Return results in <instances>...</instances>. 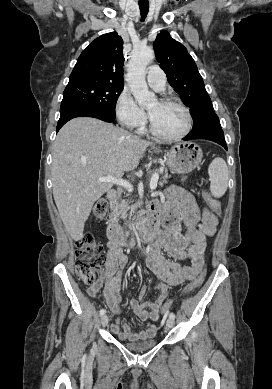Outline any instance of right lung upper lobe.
<instances>
[{"label": "right lung upper lobe", "mask_w": 272, "mask_h": 389, "mask_svg": "<svg viewBox=\"0 0 272 389\" xmlns=\"http://www.w3.org/2000/svg\"><path fill=\"white\" fill-rule=\"evenodd\" d=\"M122 51L123 40L116 32L96 38L79 56L69 83L96 81L124 85Z\"/></svg>", "instance_id": "right-lung-upper-lobe-1"}]
</instances>
